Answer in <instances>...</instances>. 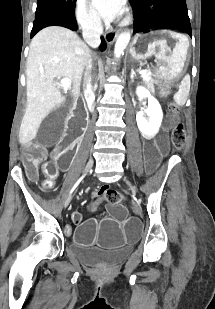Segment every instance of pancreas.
I'll use <instances>...</instances> for the list:
<instances>
[{
    "mask_svg": "<svg viewBox=\"0 0 215 309\" xmlns=\"http://www.w3.org/2000/svg\"><path fill=\"white\" fill-rule=\"evenodd\" d=\"M144 84H146V86H153L155 80L154 78H149V80H143ZM152 90H154V88H152Z\"/></svg>",
    "mask_w": 215,
    "mask_h": 309,
    "instance_id": "pancreas-1",
    "label": "pancreas"
}]
</instances>
